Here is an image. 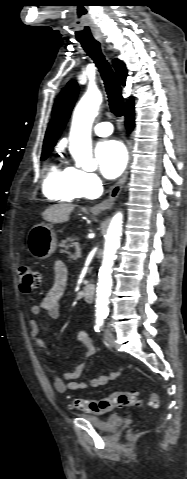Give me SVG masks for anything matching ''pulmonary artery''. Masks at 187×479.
Here are the masks:
<instances>
[{
	"label": "pulmonary artery",
	"mask_w": 187,
	"mask_h": 479,
	"mask_svg": "<svg viewBox=\"0 0 187 479\" xmlns=\"http://www.w3.org/2000/svg\"><path fill=\"white\" fill-rule=\"evenodd\" d=\"M94 133L98 136H108L113 131V126L110 122H101L94 126Z\"/></svg>",
	"instance_id": "pulmonary-artery-1"
}]
</instances>
